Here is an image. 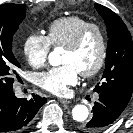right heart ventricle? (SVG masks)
<instances>
[{"label":"right heart ventricle","instance_id":"obj_1","mask_svg":"<svg viewBox=\"0 0 133 133\" xmlns=\"http://www.w3.org/2000/svg\"><path fill=\"white\" fill-rule=\"evenodd\" d=\"M89 22L77 15H70L54 20L48 27L47 37L54 47H65L78 31Z\"/></svg>","mask_w":133,"mask_h":133}]
</instances>
